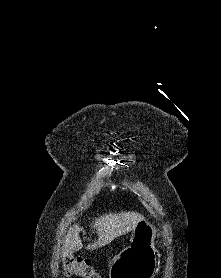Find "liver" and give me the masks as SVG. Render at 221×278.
<instances>
[{
	"mask_svg": "<svg viewBox=\"0 0 221 278\" xmlns=\"http://www.w3.org/2000/svg\"><path fill=\"white\" fill-rule=\"evenodd\" d=\"M143 216L136 212L109 213L95 219L93 228L96 229L98 239L94 243L87 245L86 249L95 250L113 241L115 238L133 231ZM82 230L79 225H73L65 237L62 254L63 256L72 255L83 247L79 237Z\"/></svg>",
	"mask_w": 221,
	"mask_h": 278,
	"instance_id": "6515ba94",
	"label": "liver"
}]
</instances>
